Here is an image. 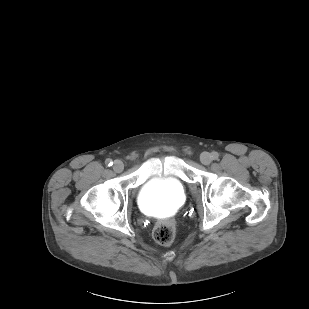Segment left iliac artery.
Returning <instances> with one entry per match:
<instances>
[{
	"label": "left iliac artery",
	"mask_w": 309,
	"mask_h": 309,
	"mask_svg": "<svg viewBox=\"0 0 309 309\" xmlns=\"http://www.w3.org/2000/svg\"><path fill=\"white\" fill-rule=\"evenodd\" d=\"M211 156H212V159L217 160L219 157V154L217 152H212Z\"/></svg>",
	"instance_id": "obj_1"
}]
</instances>
